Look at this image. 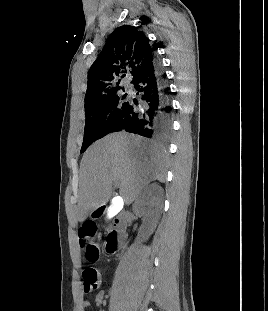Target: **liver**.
I'll use <instances>...</instances> for the list:
<instances>
[{
	"label": "liver",
	"mask_w": 268,
	"mask_h": 311,
	"mask_svg": "<svg viewBox=\"0 0 268 311\" xmlns=\"http://www.w3.org/2000/svg\"><path fill=\"white\" fill-rule=\"evenodd\" d=\"M167 157L155 145L125 132L107 135L93 144L80 164L76 219L83 222L111 198L117 182L119 194L131 204L151 181H165Z\"/></svg>",
	"instance_id": "liver-1"
}]
</instances>
